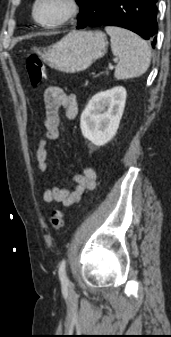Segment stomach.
<instances>
[{"instance_id": "stomach-1", "label": "stomach", "mask_w": 171, "mask_h": 337, "mask_svg": "<svg viewBox=\"0 0 171 337\" xmlns=\"http://www.w3.org/2000/svg\"><path fill=\"white\" fill-rule=\"evenodd\" d=\"M107 46V37L101 31H72L39 53L50 67L65 73H76L103 57Z\"/></svg>"}]
</instances>
